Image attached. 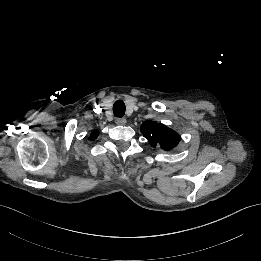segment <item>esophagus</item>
I'll list each match as a JSON object with an SVG mask.
<instances>
[{"mask_svg": "<svg viewBox=\"0 0 261 261\" xmlns=\"http://www.w3.org/2000/svg\"><path fill=\"white\" fill-rule=\"evenodd\" d=\"M115 123L119 126H124L127 123V120L125 118H117Z\"/></svg>", "mask_w": 261, "mask_h": 261, "instance_id": "esophagus-1", "label": "esophagus"}]
</instances>
